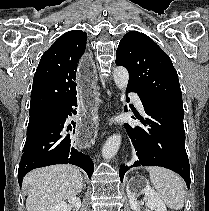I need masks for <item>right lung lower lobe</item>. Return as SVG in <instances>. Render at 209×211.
I'll return each mask as SVG.
<instances>
[{
    "label": "right lung lower lobe",
    "instance_id": "right-lung-lower-lobe-1",
    "mask_svg": "<svg viewBox=\"0 0 209 211\" xmlns=\"http://www.w3.org/2000/svg\"><path fill=\"white\" fill-rule=\"evenodd\" d=\"M75 107H77L76 97L57 105L51 115L27 136L18 169L20 187L23 177L29 171L54 164L79 166L91 178L94 171L91 158L74 148L73 137L68 133L72 130V126L67 118L76 114ZM73 126L75 127V124Z\"/></svg>",
    "mask_w": 209,
    "mask_h": 211
}]
</instances>
